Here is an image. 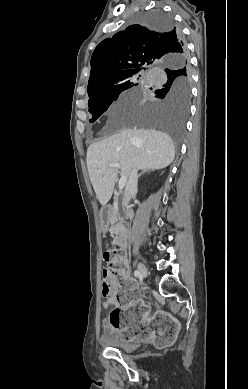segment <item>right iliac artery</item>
Here are the masks:
<instances>
[{"label": "right iliac artery", "instance_id": "right-iliac-artery-1", "mask_svg": "<svg viewBox=\"0 0 248 389\" xmlns=\"http://www.w3.org/2000/svg\"><path fill=\"white\" fill-rule=\"evenodd\" d=\"M134 276H135V277H139V276H140V273H139L138 270H135V271H134Z\"/></svg>", "mask_w": 248, "mask_h": 389}]
</instances>
